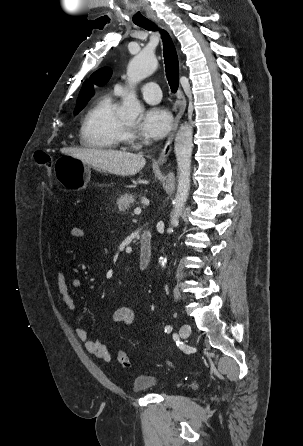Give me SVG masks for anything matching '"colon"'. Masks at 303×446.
Wrapping results in <instances>:
<instances>
[{
	"instance_id": "obj_1",
	"label": "colon",
	"mask_w": 303,
	"mask_h": 446,
	"mask_svg": "<svg viewBox=\"0 0 303 446\" xmlns=\"http://www.w3.org/2000/svg\"><path fill=\"white\" fill-rule=\"evenodd\" d=\"M35 161L40 166L44 167L46 175L51 177L52 174V158L50 155L43 151H37L34 154ZM117 361L122 367H129L130 361L128 355L124 351H119L117 354Z\"/></svg>"
}]
</instances>
